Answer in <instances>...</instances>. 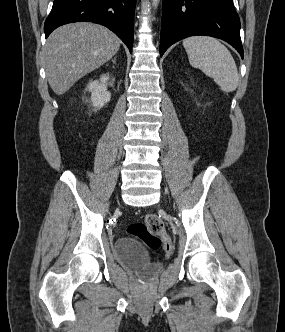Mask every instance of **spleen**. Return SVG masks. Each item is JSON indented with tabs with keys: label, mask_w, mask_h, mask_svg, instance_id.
<instances>
[{
	"label": "spleen",
	"mask_w": 285,
	"mask_h": 332,
	"mask_svg": "<svg viewBox=\"0 0 285 332\" xmlns=\"http://www.w3.org/2000/svg\"><path fill=\"white\" fill-rule=\"evenodd\" d=\"M190 64L214 79L224 91H234L239 82L235 61L230 51L213 37L194 36L183 40Z\"/></svg>",
	"instance_id": "obj_1"
}]
</instances>
